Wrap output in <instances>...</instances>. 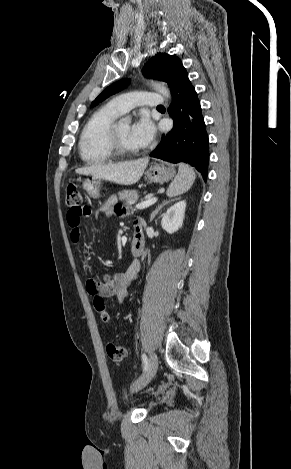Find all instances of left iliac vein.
Instances as JSON below:
<instances>
[{
  "label": "left iliac vein",
  "mask_w": 291,
  "mask_h": 469,
  "mask_svg": "<svg viewBox=\"0 0 291 469\" xmlns=\"http://www.w3.org/2000/svg\"><path fill=\"white\" fill-rule=\"evenodd\" d=\"M158 369V359L157 356L152 353L148 362L147 369L145 373L139 377L133 384V389L138 391L144 388L154 377Z\"/></svg>",
  "instance_id": "left-iliac-vein-1"
}]
</instances>
